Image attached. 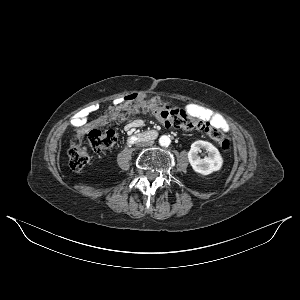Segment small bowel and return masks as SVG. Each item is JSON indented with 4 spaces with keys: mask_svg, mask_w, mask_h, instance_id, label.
<instances>
[{
    "mask_svg": "<svg viewBox=\"0 0 300 300\" xmlns=\"http://www.w3.org/2000/svg\"><path fill=\"white\" fill-rule=\"evenodd\" d=\"M186 110L188 113L194 116H200L204 119L209 120L212 124L219 126L223 131H227L229 129L228 124L226 121L218 114L213 113L212 111L201 107L200 105L197 104H187L185 106ZM91 112V109H85L80 111L73 119V123L75 126L80 128V132H82L83 127L90 125V126H97V125H102L105 123L106 119L105 117H100L90 123H88V117ZM144 126V122L141 119H135L132 120L129 124V128H140Z\"/></svg>",
    "mask_w": 300,
    "mask_h": 300,
    "instance_id": "obj_1",
    "label": "small bowel"
}]
</instances>
